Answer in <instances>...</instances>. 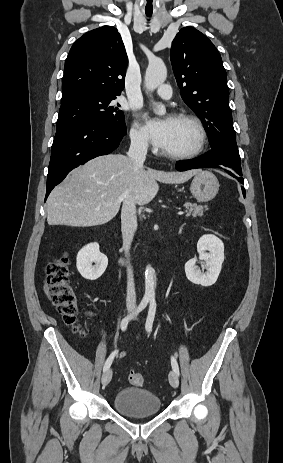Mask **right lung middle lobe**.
Listing matches in <instances>:
<instances>
[{
	"label": "right lung middle lobe",
	"mask_w": 283,
	"mask_h": 463,
	"mask_svg": "<svg viewBox=\"0 0 283 463\" xmlns=\"http://www.w3.org/2000/svg\"><path fill=\"white\" fill-rule=\"evenodd\" d=\"M115 99L116 96L90 95L61 105L57 129L81 122H98L125 128L123 112L111 103Z\"/></svg>",
	"instance_id": "right-lung-middle-lobe-1"
}]
</instances>
